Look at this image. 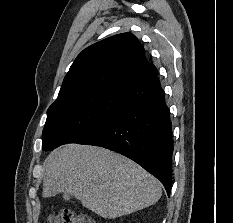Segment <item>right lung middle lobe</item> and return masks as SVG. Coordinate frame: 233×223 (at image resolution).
Instances as JSON below:
<instances>
[{"label": "right lung middle lobe", "mask_w": 233, "mask_h": 223, "mask_svg": "<svg viewBox=\"0 0 233 223\" xmlns=\"http://www.w3.org/2000/svg\"><path fill=\"white\" fill-rule=\"evenodd\" d=\"M120 89H94L57 98L47 111L44 151L82 138L111 120L122 108Z\"/></svg>", "instance_id": "right-lung-middle-lobe-1"}]
</instances>
